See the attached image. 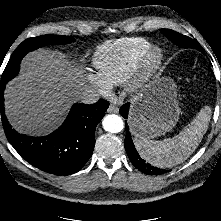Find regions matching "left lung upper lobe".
<instances>
[{"label": "left lung upper lobe", "instance_id": "1", "mask_svg": "<svg viewBox=\"0 0 221 221\" xmlns=\"http://www.w3.org/2000/svg\"><path fill=\"white\" fill-rule=\"evenodd\" d=\"M161 32L173 43L183 48H194L203 53L201 46L188 36L182 35L170 29H161Z\"/></svg>", "mask_w": 221, "mask_h": 221}]
</instances>
